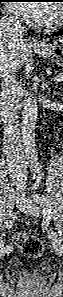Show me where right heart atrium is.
<instances>
[{"instance_id": "obj_1", "label": "right heart atrium", "mask_w": 63, "mask_h": 297, "mask_svg": "<svg viewBox=\"0 0 63 297\" xmlns=\"http://www.w3.org/2000/svg\"><path fill=\"white\" fill-rule=\"evenodd\" d=\"M8 17L11 19V20H16L18 18L17 14L11 10L8 11Z\"/></svg>"}]
</instances>
